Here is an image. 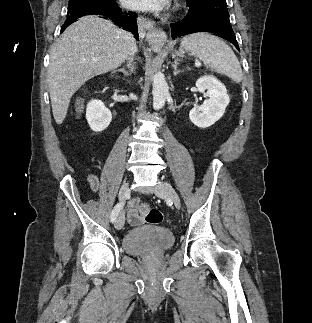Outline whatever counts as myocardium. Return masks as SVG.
Masks as SVG:
<instances>
[{"label":"myocardium","mask_w":312,"mask_h":323,"mask_svg":"<svg viewBox=\"0 0 312 323\" xmlns=\"http://www.w3.org/2000/svg\"><path fill=\"white\" fill-rule=\"evenodd\" d=\"M174 11H177L176 5H173ZM179 11H182V8H179Z\"/></svg>","instance_id":"1"}]
</instances>
